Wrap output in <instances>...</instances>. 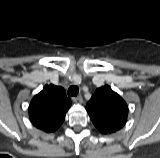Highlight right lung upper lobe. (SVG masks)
<instances>
[{
  "label": "right lung upper lobe",
  "instance_id": "1",
  "mask_svg": "<svg viewBox=\"0 0 160 158\" xmlns=\"http://www.w3.org/2000/svg\"><path fill=\"white\" fill-rule=\"evenodd\" d=\"M70 106L71 100L62 87L46 85L31 100L28 108L30 121L44 132H54L63 123Z\"/></svg>",
  "mask_w": 160,
  "mask_h": 158
}]
</instances>
